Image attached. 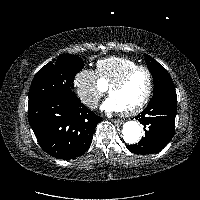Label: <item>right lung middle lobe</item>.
Wrapping results in <instances>:
<instances>
[{
	"instance_id": "dd1d6c3e",
	"label": "right lung middle lobe",
	"mask_w": 200,
	"mask_h": 200,
	"mask_svg": "<svg viewBox=\"0 0 200 200\" xmlns=\"http://www.w3.org/2000/svg\"><path fill=\"white\" fill-rule=\"evenodd\" d=\"M83 67L84 63L79 57L60 55L54 64L50 62L36 73L29 90V100L40 97H75L76 94L72 91L73 80Z\"/></svg>"
}]
</instances>
